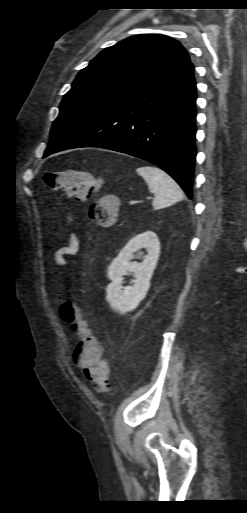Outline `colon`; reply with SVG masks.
<instances>
[{
	"label": "colon",
	"instance_id": "5ec220e1",
	"mask_svg": "<svg viewBox=\"0 0 247 513\" xmlns=\"http://www.w3.org/2000/svg\"><path fill=\"white\" fill-rule=\"evenodd\" d=\"M44 180L48 187L62 191L66 198L77 200L92 198L97 185L93 174L74 169L49 172ZM117 208L114 196L106 195L101 198L100 203H91L88 206L87 217L102 227H109L117 221ZM61 314L65 321L72 324L79 337L69 349L76 372L88 379L95 390L106 391L109 387V369L103 358V342L95 339L88 321L71 302L62 304Z\"/></svg>",
	"mask_w": 247,
	"mask_h": 513
}]
</instances>
